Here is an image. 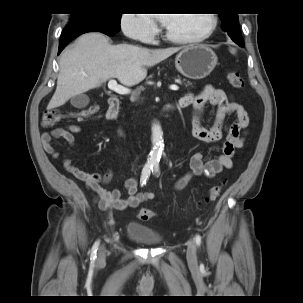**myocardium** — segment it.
Wrapping results in <instances>:
<instances>
[{
    "label": "myocardium",
    "mask_w": 303,
    "mask_h": 303,
    "mask_svg": "<svg viewBox=\"0 0 303 303\" xmlns=\"http://www.w3.org/2000/svg\"><path fill=\"white\" fill-rule=\"evenodd\" d=\"M211 18V23L209 28L203 32L200 35L197 36H190V37H179L175 36L172 33H170L166 28L164 29V36L172 42L179 43V44H188V43H197L201 42L205 39H207L210 35L213 34L215 31L217 24H218V18L215 14L211 13L209 14Z\"/></svg>",
    "instance_id": "f54148a6"
}]
</instances>
